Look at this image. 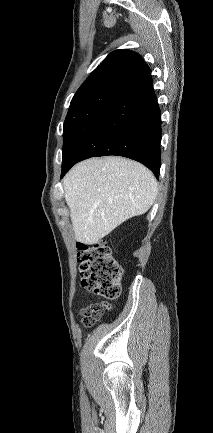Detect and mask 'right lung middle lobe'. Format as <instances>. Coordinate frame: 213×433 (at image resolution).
Listing matches in <instances>:
<instances>
[{"mask_svg": "<svg viewBox=\"0 0 213 433\" xmlns=\"http://www.w3.org/2000/svg\"><path fill=\"white\" fill-rule=\"evenodd\" d=\"M118 95L119 93L107 92L71 101L63 125L62 155L65 154L72 142L82 133L87 124Z\"/></svg>", "mask_w": 213, "mask_h": 433, "instance_id": "1", "label": "right lung middle lobe"}]
</instances>
